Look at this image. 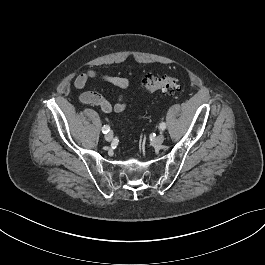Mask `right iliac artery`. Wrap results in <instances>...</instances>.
Wrapping results in <instances>:
<instances>
[{
    "label": "right iliac artery",
    "instance_id": "right-iliac-artery-1",
    "mask_svg": "<svg viewBox=\"0 0 265 265\" xmlns=\"http://www.w3.org/2000/svg\"><path fill=\"white\" fill-rule=\"evenodd\" d=\"M109 129H110L109 125H104V126L102 127V132H103L104 134H107V133L109 132Z\"/></svg>",
    "mask_w": 265,
    "mask_h": 265
}]
</instances>
